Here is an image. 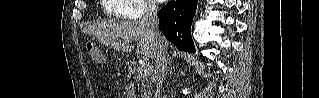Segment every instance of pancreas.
Listing matches in <instances>:
<instances>
[{
  "label": "pancreas",
  "instance_id": "cf45deb5",
  "mask_svg": "<svg viewBox=\"0 0 319 98\" xmlns=\"http://www.w3.org/2000/svg\"><path fill=\"white\" fill-rule=\"evenodd\" d=\"M128 73L137 82L138 91L144 92L146 97L151 94L149 74H140L139 69L136 68V63L131 60L128 62Z\"/></svg>",
  "mask_w": 319,
  "mask_h": 98
}]
</instances>
